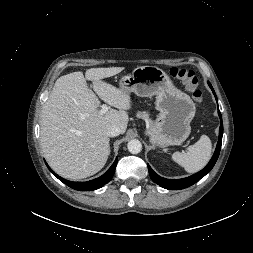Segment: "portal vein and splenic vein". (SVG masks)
Listing matches in <instances>:
<instances>
[{"instance_id": "1", "label": "portal vein and splenic vein", "mask_w": 253, "mask_h": 253, "mask_svg": "<svg viewBox=\"0 0 253 253\" xmlns=\"http://www.w3.org/2000/svg\"><path fill=\"white\" fill-rule=\"evenodd\" d=\"M108 106L106 104H102L101 105V110H100V114H105L108 112ZM85 116H82V118H84Z\"/></svg>"}]
</instances>
